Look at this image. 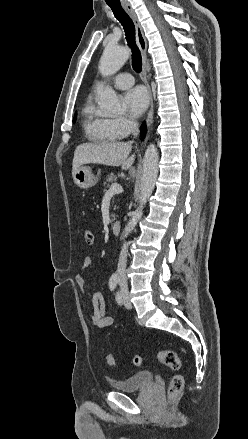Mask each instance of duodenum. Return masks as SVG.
Listing matches in <instances>:
<instances>
[{
	"label": "duodenum",
	"instance_id": "duodenum-1",
	"mask_svg": "<svg viewBox=\"0 0 248 439\" xmlns=\"http://www.w3.org/2000/svg\"><path fill=\"white\" fill-rule=\"evenodd\" d=\"M111 230L114 234H120L121 230H122V223L121 221L117 220L114 221L111 225Z\"/></svg>",
	"mask_w": 248,
	"mask_h": 439
}]
</instances>
